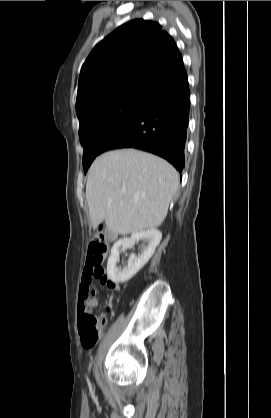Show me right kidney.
Masks as SVG:
<instances>
[{"mask_svg": "<svg viewBox=\"0 0 271 418\" xmlns=\"http://www.w3.org/2000/svg\"><path fill=\"white\" fill-rule=\"evenodd\" d=\"M161 238L162 233L159 230L150 229L133 233L130 238H123L115 242L107 261V275L109 279L115 283H123L130 280L152 257ZM139 240L147 243L141 255L135 256L131 254L128 259V266L123 269L118 268L117 261L120 252L132 247Z\"/></svg>", "mask_w": 271, "mask_h": 418, "instance_id": "right-kidney-1", "label": "right kidney"}]
</instances>
